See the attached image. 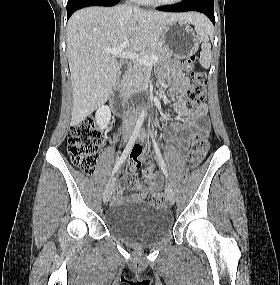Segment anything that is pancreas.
I'll list each match as a JSON object with an SVG mask.
<instances>
[{
  "instance_id": "1",
  "label": "pancreas",
  "mask_w": 280,
  "mask_h": 285,
  "mask_svg": "<svg viewBox=\"0 0 280 285\" xmlns=\"http://www.w3.org/2000/svg\"><path fill=\"white\" fill-rule=\"evenodd\" d=\"M146 55H157L159 61L168 59L172 53L162 45H156L148 48ZM147 66L135 61L133 68L124 80V89L126 92L134 93L144 90Z\"/></svg>"
}]
</instances>
